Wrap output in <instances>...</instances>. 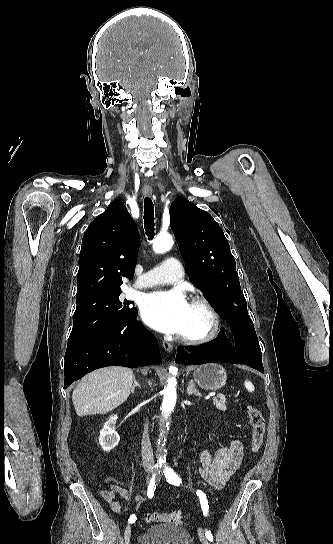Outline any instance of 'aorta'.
Masks as SVG:
<instances>
[{"label":"aorta","instance_id":"1","mask_svg":"<svg viewBox=\"0 0 333 544\" xmlns=\"http://www.w3.org/2000/svg\"><path fill=\"white\" fill-rule=\"evenodd\" d=\"M173 245V239L170 234L168 233H160L157 235L154 244H153V250L155 253L161 254L166 251H168ZM170 373L174 374L176 373L177 369L175 367L169 368ZM164 398L162 403V411L164 413L165 418L169 416V414L173 411L176 399H177V393H176V379L175 378H169L168 385L164 389ZM166 428H162L159 437H158V449L161 453L164 452V442L166 440Z\"/></svg>","mask_w":333,"mask_h":544}]
</instances>
